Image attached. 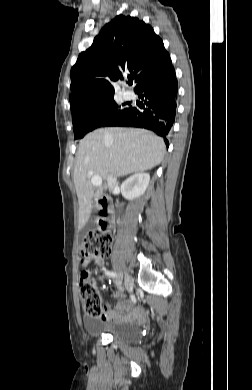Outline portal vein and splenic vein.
Listing matches in <instances>:
<instances>
[{"mask_svg":"<svg viewBox=\"0 0 252 390\" xmlns=\"http://www.w3.org/2000/svg\"><path fill=\"white\" fill-rule=\"evenodd\" d=\"M89 176L91 177L93 186L99 187L102 185V178L99 175H93V172H89Z\"/></svg>","mask_w":252,"mask_h":390,"instance_id":"1","label":"portal vein and splenic vein"}]
</instances>
